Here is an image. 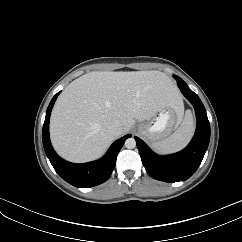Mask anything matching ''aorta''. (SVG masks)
I'll return each instance as SVG.
<instances>
[{"label":"aorta","instance_id":"aorta-1","mask_svg":"<svg viewBox=\"0 0 242 242\" xmlns=\"http://www.w3.org/2000/svg\"><path fill=\"white\" fill-rule=\"evenodd\" d=\"M125 147L128 148V149H133L136 147V141L134 138H128L126 141H125Z\"/></svg>","mask_w":242,"mask_h":242}]
</instances>
